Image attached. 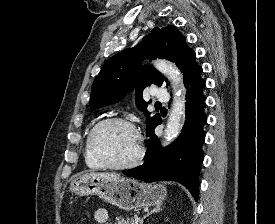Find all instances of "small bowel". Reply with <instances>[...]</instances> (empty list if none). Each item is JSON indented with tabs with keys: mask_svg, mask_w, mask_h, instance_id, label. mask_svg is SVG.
<instances>
[{
	"mask_svg": "<svg viewBox=\"0 0 275 224\" xmlns=\"http://www.w3.org/2000/svg\"><path fill=\"white\" fill-rule=\"evenodd\" d=\"M94 218L97 224H111L109 222V213L104 208H99L94 213Z\"/></svg>",
	"mask_w": 275,
	"mask_h": 224,
	"instance_id": "c3829d8e",
	"label": "small bowel"
}]
</instances>
